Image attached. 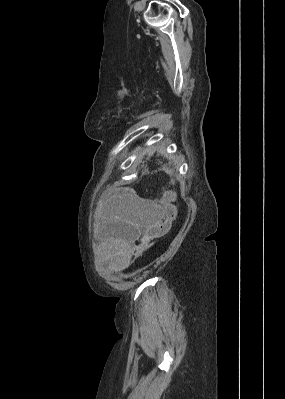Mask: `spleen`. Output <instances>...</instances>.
<instances>
[{"label":"spleen","mask_w":285,"mask_h":399,"mask_svg":"<svg viewBox=\"0 0 285 399\" xmlns=\"http://www.w3.org/2000/svg\"><path fill=\"white\" fill-rule=\"evenodd\" d=\"M163 170H164L166 173L172 174V170H170L168 167H164V166H163Z\"/></svg>","instance_id":"3e777b00"}]
</instances>
